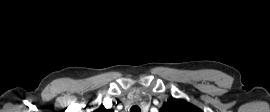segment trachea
Segmentation results:
<instances>
[{
  "instance_id": "1",
  "label": "trachea",
  "mask_w": 270,
  "mask_h": 112,
  "mask_svg": "<svg viewBox=\"0 0 270 112\" xmlns=\"http://www.w3.org/2000/svg\"><path fill=\"white\" fill-rule=\"evenodd\" d=\"M130 112H141V109L139 106L135 105L131 107Z\"/></svg>"
}]
</instances>
